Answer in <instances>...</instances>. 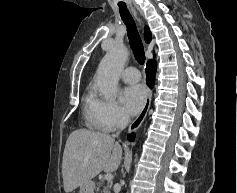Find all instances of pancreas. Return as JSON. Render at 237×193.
I'll return each mask as SVG.
<instances>
[{
	"label": "pancreas",
	"instance_id": "pancreas-1",
	"mask_svg": "<svg viewBox=\"0 0 237 193\" xmlns=\"http://www.w3.org/2000/svg\"><path fill=\"white\" fill-rule=\"evenodd\" d=\"M100 186H103V182H100L99 184H98V187H100ZM111 183H107V185L105 186H103V189H102V191H101V193H111Z\"/></svg>",
	"mask_w": 237,
	"mask_h": 193
}]
</instances>
